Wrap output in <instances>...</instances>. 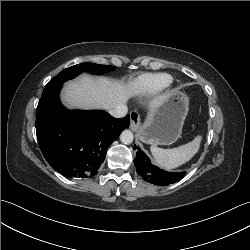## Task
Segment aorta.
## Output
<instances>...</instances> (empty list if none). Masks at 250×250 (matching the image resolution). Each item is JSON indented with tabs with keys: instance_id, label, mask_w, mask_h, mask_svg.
Returning a JSON list of instances; mask_svg holds the SVG:
<instances>
[{
	"instance_id": "762f6f07",
	"label": "aorta",
	"mask_w": 250,
	"mask_h": 250,
	"mask_svg": "<svg viewBox=\"0 0 250 250\" xmlns=\"http://www.w3.org/2000/svg\"><path fill=\"white\" fill-rule=\"evenodd\" d=\"M134 136L130 130H124L120 135V140L123 144H131Z\"/></svg>"
}]
</instances>
